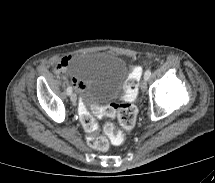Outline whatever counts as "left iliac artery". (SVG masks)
<instances>
[{"label": "left iliac artery", "mask_w": 215, "mask_h": 183, "mask_svg": "<svg viewBox=\"0 0 215 183\" xmlns=\"http://www.w3.org/2000/svg\"><path fill=\"white\" fill-rule=\"evenodd\" d=\"M151 76V71L148 69L146 70L145 74H144V78L149 79Z\"/></svg>", "instance_id": "left-iliac-artery-1"}]
</instances>
